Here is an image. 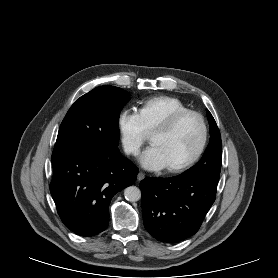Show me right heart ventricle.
Returning <instances> with one entry per match:
<instances>
[{
    "instance_id": "obj_1",
    "label": "right heart ventricle",
    "mask_w": 278,
    "mask_h": 278,
    "mask_svg": "<svg viewBox=\"0 0 278 278\" xmlns=\"http://www.w3.org/2000/svg\"><path fill=\"white\" fill-rule=\"evenodd\" d=\"M189 110L178 98L171 96H156L140 102L138 114L147 132L169 119L176 113Z\"/></svg>"
}]
</instances>
